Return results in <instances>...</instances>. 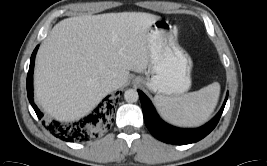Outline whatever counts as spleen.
Returning <instances> with one entry per match:
<instances>
[{"label":"spleen","instance_id":"obj_1","mask_svg":"<svg viewBox=\"0 0 267 166\" xmlns=\"http://www.w3.org/2000/svg\"><path fill=\"white\" fill-rule=\"evenodd\" d=\"M219 95L220 84L214 82L199 91L179 97L157 95L155 103L165 120L180 126H198L208 120Z\"/></svg>","mask_w":267,"mask_h":166}]
</instances>
